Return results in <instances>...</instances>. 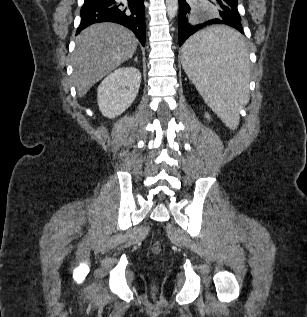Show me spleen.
Returning <instances> with one entry per match:
<instances>
[{
    "label": "spleen",
    "mask_w": 307,
    "mask_h": 317,
    "mask_svg": "<svg viewBox=\"0 0 307 317\" xmlns=\"http://www.w3.org/2000/svg\"><path fill=\"white\" fill-rule=\"evenodd\" d=\"M249 44L230 26H207L182 47L185 73L217 116L234 130L249 101Z\"/></svg>",
    "instance_id": "3e777b00"
}]
</instances>
